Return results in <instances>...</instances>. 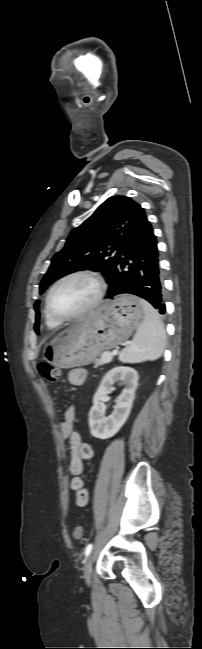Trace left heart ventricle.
Returning <instances> with one entry per match:
<instances>
[{
    "label": "left heart ventricle",
    "mask_w": 202,
    "mask_h": 649,
    "mask_svg": "<svg viewBox=\"0 0 202 649\" xmlns=\"http://www.w3.org/2000/svg\"><path fill=\"white\" fill-rule=\"evenodd\" d=\"M96 294L95 284L85 277H73L62 282L53 292L50 305L62 317L73 315L87 306Z\"/></svg>",
    "instance_id": "1"
}]
</instances>
